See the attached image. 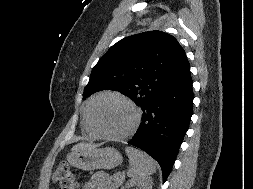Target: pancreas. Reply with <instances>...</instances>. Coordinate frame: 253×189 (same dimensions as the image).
Returning a JSON list of instances; mask_svg holds the SVG:
<instances>
[{
  "instance_id": "cf45deb5",
  "label": "pancreas",
  "mask_w": 253,
  "mask_h": 189,
  "mask_svg": "<svg viewBox=\"0 0 253 189\" xmlns=\"http://www.w3.org/2000/svg\"><path fill=\"white\" fill-rule=\"evenodd\" d=\"M124 178H125L124 174L120 172L115 173L113 176H111V180L115 187L122 185Z\"/></svg>"
}]
</instances>
